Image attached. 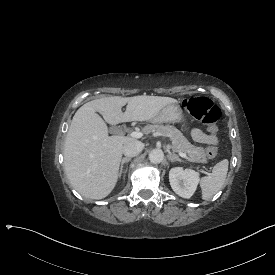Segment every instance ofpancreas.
<instances>
[{
    "instance_id": "cf45deb5",
    "label": "pancreas",
    "mask_w": 275,
    "mask_h": 275,
    "mask_svg": "<svg viewBox=\"0 0 275 275\" xmlns=\"http://www.w3.org/2000/svg\"><path fill=\"white\" fill-rule=\"evenodd\" d=\"M143 132L145 134L158 132L163 136H168L172 141L171 148L174 152L180 151L183 153H187L189 156L188 160L191 162L207 163L204 149L202 147H195L194 145H192L174 126L149 124L143 128Z\"/></svg>"
}]
</instances>
